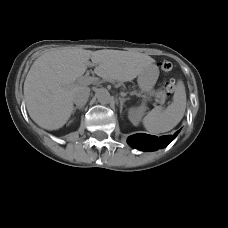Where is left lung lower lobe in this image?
<instances>
[{
  "mask_svg": "<svg viewBox=\"0 0 228 228\" xmlns=\"http://www.w3.org/2000/svg\"><path fill=\"white\" fill-rule=\"evenodd\" d=\"M179 133L177 131L173 136H162L157 137L148 134H135L128 138V143L133 148L142 150V151H153L159 148L167 146Z\"/></svg>",
  "mask_w": 228,
  "mask_h": 228,
  "instance_id": "obj_1",
  "label": "left lung lower lobe"
}]
</instances>
